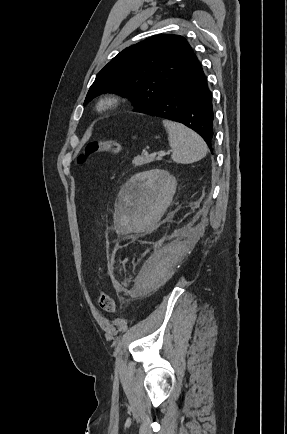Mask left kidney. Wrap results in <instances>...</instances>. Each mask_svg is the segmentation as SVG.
I'll list each match as a JSON object with an SVG mask.
<instances>
[{"label": "left kidney", "mask_w": 287, "mask_h": 434, "mask_svg": "<svg viewBox=\"0 0 287 434\" xmlns=\"http://www.w3.org/2000/svg\"><path fill=\"white\" fill-rule=\"evenodd\" d=\"M176 186L175 177L166 170L153 169L136 174L124 187L123 201L127 213L136 219L147 220L157 208L164 210L168 207Z\"/></svg>", "instance_id": "1"}]
</instances>
